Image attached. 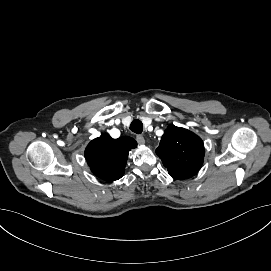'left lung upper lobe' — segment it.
Returning a JSON list of instances; mask_svg holds the SVG:
<instances>
[{"instance_id":"1","label":"left lung upper lobe","mask_w":271,"mask_h":271,"mask_svg":"<svg viewBox=\"0 0 271 271\" xmlns=\"http://www.w3.org/2000/svg\"><path fill=\"white\" fill-rule=\"evenodd\" d=\"M156 154L174 179L194 176L202 166L204 145L191 131L170 125L161 138Z\"/></svg>"}]
</instances>
